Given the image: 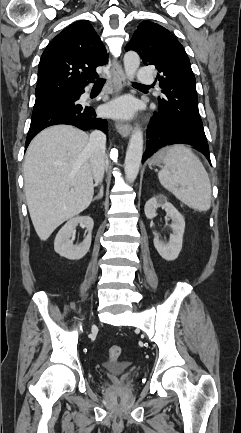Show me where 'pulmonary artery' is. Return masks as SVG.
Instances as JSON below:
<instances>
[{
  "label": "pulmonary artery",
  "instance_id": "e3ab8cb5",
  "mask_svg": "<svg viewBox=\"0 0 241 433\" xmlns=\"http://www.w3.org/2000/svg\"><path fill=\"white\" fill-rule=\"evenodd\" d=\"M137 78L141 84H152L154 82V75L147 67H140L137 70Z\"/></svg>",
  "mask_w": 241,
  "mask_h": 433
}]
</instances>
